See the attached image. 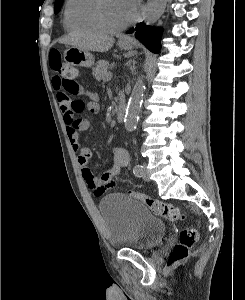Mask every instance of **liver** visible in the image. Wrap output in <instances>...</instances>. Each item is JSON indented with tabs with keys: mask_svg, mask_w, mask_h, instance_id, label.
<instances>
[{
	"mask_svg": "<svg viewBox=\"0 0 245 300\" xmlns=\"http://www.w3.org/2000/svg\"><path fill=\"white\" fill-rule=\"evenodd\" d=\"M114 41V38L105 35H70L60 39L61 43L95 52L108 51L113 46Z\"/></svg>",
	"mask_w": 245,
	"mask_h": 300,
	"instance_id": "1",
	"label": "liver"
}]
</instances>
